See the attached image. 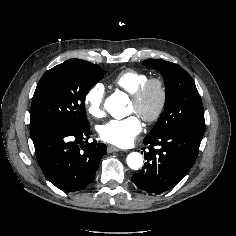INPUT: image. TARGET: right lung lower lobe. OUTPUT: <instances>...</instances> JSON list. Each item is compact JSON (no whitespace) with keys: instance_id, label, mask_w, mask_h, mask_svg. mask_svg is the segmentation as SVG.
Instances as JSON below:
<instances>
[{"instance_id":"98d812e1","label":"right lung lower lobe","mask_w":236,"mask_h":236,"mask_svg":"<svg viewBox=\"0 0 236 236\" xmlns=\"http://www.w3.org/2000/svg\"><path fill=\"white\" fill-rule=\"evenodd\" d=\"M36 157L47 179L59 189H84L95 177L105 144L81 142L90 138L89 124L69 127L44 122L30 125ZM80 143V145H79Z\"/></svg>"}]
</instances>
